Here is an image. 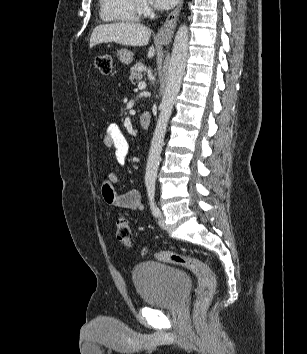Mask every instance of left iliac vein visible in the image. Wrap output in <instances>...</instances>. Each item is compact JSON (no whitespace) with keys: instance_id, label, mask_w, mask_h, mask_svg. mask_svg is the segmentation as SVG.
I'll list each match as a JSON object with an SVG mask.
<instances>
[{"instance_id":"4c4485c4","label":"left iliac vein","mask_w":307,"mask_h":354,"mask_svg":"<svg viewBox=\"0 0 307 354\" xmlns=\"http://www.w3.org/2000/svg\"><path fill=\"white\" fill-rule=\"evenodd\" d=\"M158 224L162 229H166V224H165L164 216H163L162 212H160Z\"/></svg>"}]
</instances>
